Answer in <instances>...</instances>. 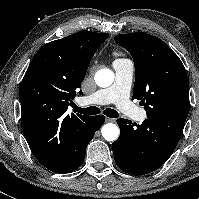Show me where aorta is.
<instances>
[{
    "instance_id": "obj_1",
    "label": "aorta",
    "mask_w": 199,
    "mask_h": 199,
    "mask_svg": "<svg viewBox=\"0 0 199 199\" xmlns=\"http://www.w3.org/2000/svg\"><path fill=\"white\" fill-rule=\"evenodd\" d=\"M94 79L98 86L109 87L114 81V73L110 69L103 68L96 72ZM101 132L107 141H115L119 136V128L113 123L105 124Z\"/></svg>"
}]
</instances>
